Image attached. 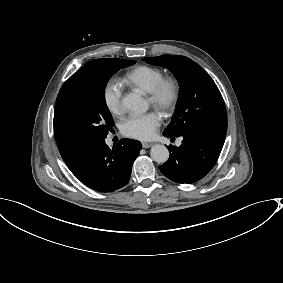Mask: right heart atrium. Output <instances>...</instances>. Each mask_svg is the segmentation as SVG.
<instances>
[{
  "instance_id": "1",
  "label": "right heart atrium",
  "mask_w": 283,
  "mask_h": 283,
  "mask_svg": "<svg viewBox=\"0 0 283 283\" xmlns=\"http://www.w3.org/2000/svg\"><path fill=\"white\" fill-rule=\"evenodd\" d=\"M123 84L117 77L108 78L102 87V99L107 110L117 115L123 111Z\"/></svg>"
}]
</instances>
